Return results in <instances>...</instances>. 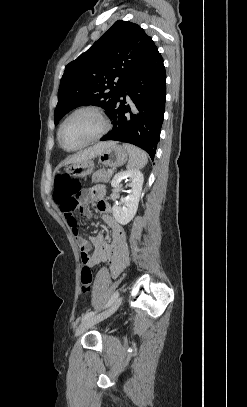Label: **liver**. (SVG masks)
<instances>
[{
	"label": "liver",
	"mask_w": 247,
	"mask_h": 407,
	"mask_svg": "<svg viewBox=\"0 0 247 407\" xmlns=\"http://www.w3.org/2000/svg\"><path fill=\"white\" fill-rule=\"evenodd\" d=\"M112 142H101L69 157L64 164H74L98 156Z\"/></svg>",
	"instance_id": "liver-1"
}]
</instances>
